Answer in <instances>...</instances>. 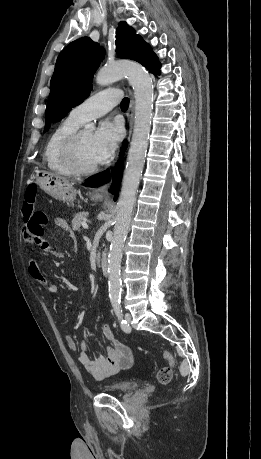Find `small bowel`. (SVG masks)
Masks as SVG:
<instances>
[{"label": "small bowel", "instance_id": "c3829d8e", "mask_svg": "<svg viewBox=\"0 0 261 459\" xmlns=\"http://www.w3.org/2000/svg\"><path fill=\"white\" fill-rule=\"evenodd\" d=\"M55 225L67 232L70 231L68 224L63 218H56ZM27 245L35 244L40 246L42 250H51V244L44 238L43 234H36L34 238H24ZM28 271L30 276L36 280L45 290L47 294H55L58 287L55 283L47 279L42 273L39 264L35 260L29 263ZM102 332L108 345L106 346L105 355L92 359L89 354L87 344L84 340L77 343L70 335H66L65 341L69 349L75 351L80 348L79 361L80 363L94 376L96 379H104L121 370L129 369L133 363V357L130 349L116 337L113 328L110 324H104Z\"/></svg>", "mask_w": 261, "mask_h": 459}]
</instances>
